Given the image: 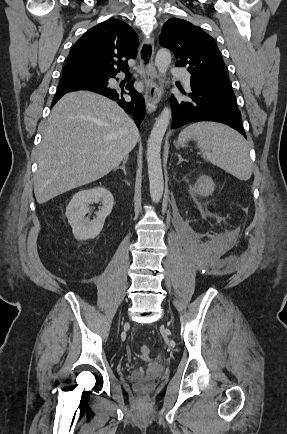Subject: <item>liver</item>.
I'll return each mask as SVG.
<instances>
[{"label": "liver", "mask_w": 287, "mask_h": 434, "mask_svg": "<svg viewBox=\"0 0 287 434\" xmlns=\"http://www.w3.org/2000/svg\"><path fill=\"white\" fill-rule=\"evenodd\" d=\"M138 140L136 125L116 102L89 91L65 94L51 111L39 147L38 204L107 175Z\"/></svg>", "instance_id": "liver-1"}]
</instances>
